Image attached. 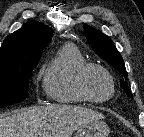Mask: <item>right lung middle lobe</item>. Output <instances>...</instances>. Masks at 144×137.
<instances>
[{
    "label": "right lung middle lobe",
    "mask_w": 144,
    "mask_h": 137,
    "mask_svg": "<svg viewBox=\"0 0 144 137\" xmlns=\"http://www.w3.org/2000/svg\"><path fill=\"white\" fill-rule=\"evenodd\" d=\"M39 59L0 65V108L24 100L29 78Z\"/></svg>",
    "instance_id": "1"
}]
</instances>
